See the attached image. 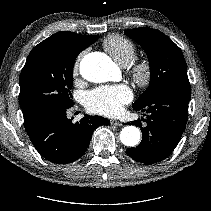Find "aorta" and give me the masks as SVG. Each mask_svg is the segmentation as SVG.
I'll list each match as a JSON object with an SVG mask.
<instances>
[{
  "label": "aorta",
  "mask_w": 211,
  "mask_h": 211,
  "mask_svg": "<svg viewBox=\"0 0 211 211\" xmlns=\"http://www.w3.org/2000/svg\"><path fill=\"white\" fill-rule=\"evenodd\" d=\"M115 66L104 54H90L80 63V73L90 82H105L112 79ZM120 140L125 146L134 147L140 142V131L135 126H126L120 132Z\"/></svg>",
  "instance_id": "obj_1"
}]
</instances>
